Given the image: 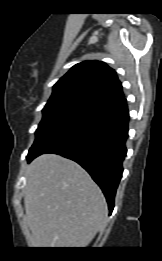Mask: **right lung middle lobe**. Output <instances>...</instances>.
I'll use <instances>...</instances> for the list:
<instances>
[{"mask_svg":"<svg viewBox=\"0 0 162 261\" xmlns=\"http://www.w3.org/2000/svg\"><path fill=\"white\" fill-rule=\"evenodd\" d=\"M102 103L86 94L69 92L52 95L43 108V119L36 130L35 149L52 133L71 121L100 108Z\"/></svg>","mask_w":162,"mask_h":261,"instance_id":"obj_1","label":"right lung middle lobe"}]
</instances>
